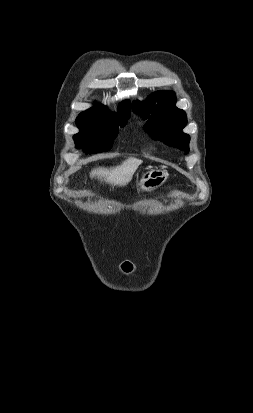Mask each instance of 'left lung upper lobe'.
I'll return each mask as SVG.
<instances>
[{"label": "left lung upper lobe", "instance_id": "1", "mask_svg": "<svg viewBox=\"0 0 253 413\" xmlns=\"http://www.w3.org/2000/svg\"><path fill=\"white\" fill-rule=\"evenodd\" d=\"M175 103L174 92L158 91L153 93L147 101H135L132 107L136 113L148 119L143 128L149 135L188 152L190 137L182 132L187 124L186 113L177 108Z\"/></svg>", "mask_w": 253, "mask_h": 413}]
</instances>
